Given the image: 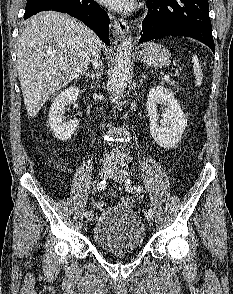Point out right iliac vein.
<instances>
[{
	"label": "right iliac vein",
	"instance_id": "63e3f726",
	"mask_svg": "<svg viewBox=\"0 0 233 294\" xmlns=\"http://www.w3.org/2000/svg\"><path fill=\"white\" fill-rule=\"evenodd\" d=\"M112 169L109 166H103L100 170V178L101 179H105L106 177H108L111 174ZM93 214L90 213L89 216L86 217V222L89 223L92 220Z\"/></svg>",
	"mask_w": 233,
	"mask_h": 294
}]
</instances>
